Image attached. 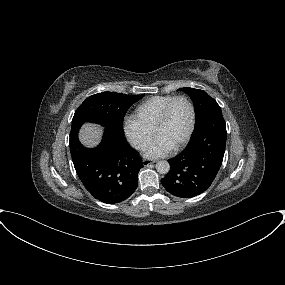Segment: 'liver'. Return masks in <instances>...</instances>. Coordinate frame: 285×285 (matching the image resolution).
Here are the masks:
<instances>
[{"label": "liver", "mask_w": 285, "mask_h": 285, "mask_svg": "<svg viewBox=\"0 0 285 285\" xmlns=\"http://www.w3.org/2000/svg\"><path fill=\"white\" fill-rule=\"evenodd\" d=\"M101 133L100 127L94 124H85L80 131V140L84 145L94 147L99 143Z\"/></svg>", "instance_id": "obj_1"}]
</instances>
